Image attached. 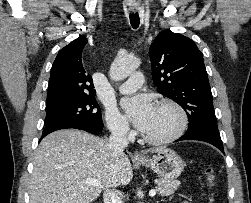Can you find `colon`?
<instances>
[{"mask_svg":"<svg viewBox=\"0 0 251 203\" xmlns=\"http://www.w3.org/2000/svg\"><path fill=\"white\" fill-rule=\"evenodd\" d=\"M204 172H205V177H206L208 185L212 186L214 184V182H215V172H214V169L211 166L207 165L205 167Z\"/></svg>","mask_w":251,"mask_h":203,"instance_id":"obj_1","label":"colon"}]
</instances>
